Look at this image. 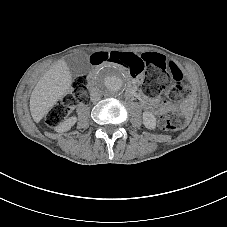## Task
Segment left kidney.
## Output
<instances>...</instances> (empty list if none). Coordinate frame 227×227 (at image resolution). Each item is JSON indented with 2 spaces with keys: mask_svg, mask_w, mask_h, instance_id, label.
Here are the masks:
<instances>
[{
  "mask_svg": "<svg viewBox=\"0 0 227 227\" xmlns=\"http://www.w3.org/2000/svg\"><path fill=\"white\" fill-rule=\"evenodd\" d=\"M143 124L148 129H155V127H156V118H155V116L151 112L145 111L143 113Z\"/></svg>",
  "mask_w": 227,
  "mask_h": 227,
  "instance_id": "left-kidney-1",
  "label": "left kidney"
}]
</instances>
